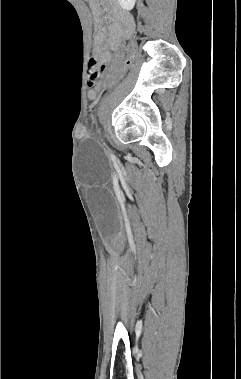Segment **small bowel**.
<instances>
[{"mask_svg": "<svg viewBox=\"0 0 241 379\" xmlns=\"http://www.w3.org/2000/svg\"><path fill=\"white\" fill-rule=\"evenodd\" d=\"M101 2L102 7L106 9L111 19L114 20L110 30H107L103 25L101 17V9L98 5L94 6V15L97 22L96 33L94 37V55L97 60L103 64H106L111 59L109 47L114 45L116 39L123 29L125 24L130 23L131 19L129 15L121 11L114 3V0H98ZM97 96V90L91 88L88 90V97L95 99Z\"/></svg>", "mask_w": 241, "mask_h": 379, "instance_id": "c3829d8e", "label": "small bowel"}]
</instances>
